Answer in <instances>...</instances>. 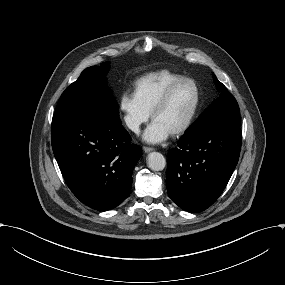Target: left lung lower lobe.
<instances>
[{
  "instance_id": "1",
  "label": "left lung lower lobe",
  "mask_w": 285,
  "mask_h": 285,
  "mask_svg": "<svg viewBox=\"0 0 285 285\" xmlns=\"http://www.w3.org/2000/svg\"><path fill=\"white\" fill-rule=\"evenodd\" d=\"M239 112L212 117L184 134L168 153L169 197L183 210L210 207L227 185L241 149Z\"/></svg>"
}]
</instances>
